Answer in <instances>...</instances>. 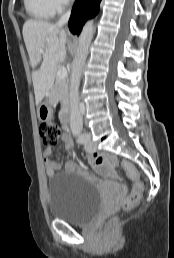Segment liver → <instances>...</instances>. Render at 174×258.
Segmentation results:
<instances>
[{"label": "liver", "mask_w": 174, "mask_h": 258, "mask_svg": "<svg viewBox=\"0 0 174 258\" xmlns=\"http://www.w3.org/2000/svg\"><path fill=\"white\" fill-rule=\"evenodd\" d=\"M22 32L33 67L35 101L39 105L52 89L58 64L66 59L67 33L58 25L37 20H27Z\"/></svg>", "instance_id": "obj_1"}]
</instances>
